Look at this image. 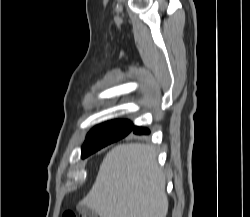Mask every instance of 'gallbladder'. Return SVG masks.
Here are the masks:
<instances>
[{
	"label": "gallbladder",
	"instance_id": "bac80fb5",
	"mask_svg": "<svg viewBox=\"0 0 250 217\" xmlns=\"http://www.w3.org/2000/svg\"><path fill=\"white\" fill-rule=\"evenodd\" d=\"M78 211L82 214H87L90 217H97V214L95 212L91 211L89 208L83 205L78 206Z\"/></svg>",
	"mask_w": 250,
	"mask_h": 217
}]
</instances>
